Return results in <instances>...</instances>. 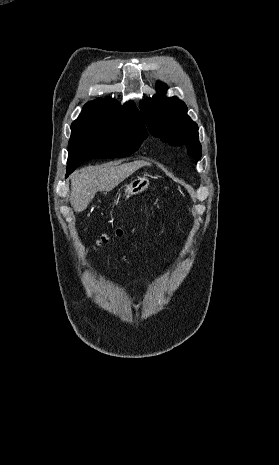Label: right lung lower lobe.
Here are the masks:
<instances>
[{"label":"right lung lower lobe","instance_id":"98d812e1","mask_svg":"<svg viewBox=\"0 0 279 465\" xmlns=\"http://www.w3.org/2000/svg\"><path fill=\"white\" fill-rule=\"evenodd\" d=\"M70 173H72V172H67L66 176H68Z\"/></svg>","mask_w":279,"mask_h":465}]
</instances>
